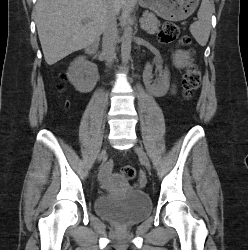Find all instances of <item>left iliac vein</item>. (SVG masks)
<instances>
[{
  "label": "left iliac vein",
  "mask_w": 248,
  "mask_h": 250,
  "mask_svg": "<svg viewBox=\"0 0 248 250\" xmlns=\"http://www.w3.org/2000/svg\"><path fill=\"white\" fill-rule=\"evenodd\" d=\"M135 152L138 154L142 164L149 170L150 169V161L146 154V152L139 146H135Z\"/></svg>",
  "instance_id": "4c4485c4"
}]
</instances>
